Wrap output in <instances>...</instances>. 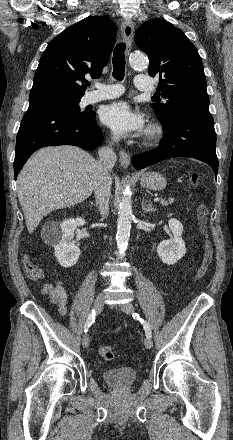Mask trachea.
Instances as JSON below:
<instances>
[{
    "instance_id": "obj_1",
    "label": "trachea",
    "mask_w": 233,
    "mask_h": 440,
    "mask_svg": "<svg viewBox=\"0 0 233 440\" xmlns=\"http://www.w3.org/2000/svg\"><path fill=\"white\" fill-rule=\"evenodd\" d=\"M124 51H125V44L121 43L115 47L113 52V58H112L113 77L118 81H122L124 78L125 64H126ZM87 85H90V83H87Z\"/></svg>"
}]
</instances>
